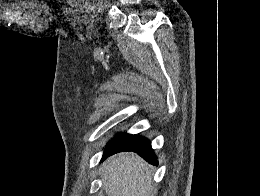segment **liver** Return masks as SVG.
Instances as JSON below:
<instances>
[{
    "label": "liver",
    "mask_w": 260,
    "mask_h": 196,
    "mask_svg": "<svg viewBox=\"0 0 260 196\" xmlns=\"http://www.w3.org/2000/svg\"><path fill=\"white\" fill-rule=\"evenodd\" d=\"M152 176L153 166L133 152L110 156L101 172L107 196H150Z\"/></svg>",
    "instance_id": "6515ba94"
}]
</instances>
